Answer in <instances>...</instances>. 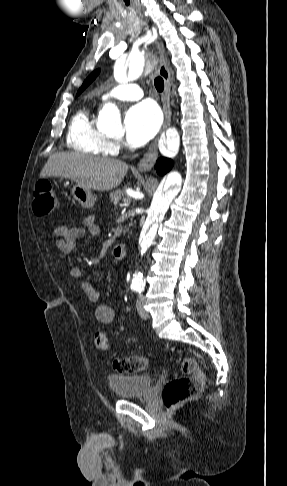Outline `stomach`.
Segmentation results:
<instances>
[{"label": "stomach", "instance_id": "1", "mask_svg": "<svg viewBox=\"0 0 287 486\" xmlns=\"http://www.w3.org/2000/svg\"><path fill=\"white\" fill-rule=\"evenodd\" d=\"M73 198L78 201L82 207L90 209L94 206L95 198L90 188L76 183L71 188Z\"/></svg>", "mask_w": 287, "mask_h": 486}]
</instances>
